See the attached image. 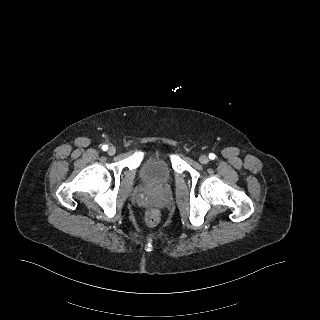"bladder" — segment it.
Wrapping results in <instances>:
<instances>
[{
  "label": "bladder",
  "mask_w": 320,
  "mask_h": 320,
  "mask_svg": "<svg viewBox=\"0 0 320 320\" xmlns=\"http://www.w3.org/2000/svg\"><path fill=\"white\" fill-rule=\"evenodd\" d=\"M141 177L146 183L163 185L171 178L168 162L162 158H149L141 168Z\"/></svg>",
  "instance_id": "obj_1"
}]
</instances>
